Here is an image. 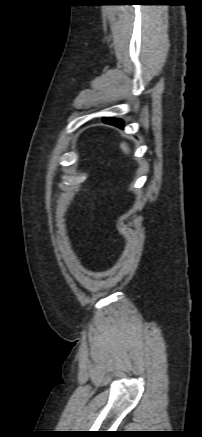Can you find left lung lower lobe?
Here are the masks:
<instances>
[{
	"label": "left lung lower lobe",
	"instance_id": "obj_1",
	"mask_svg": "<svg viewBox=\"0 0 202 437\" xmlns=\"http://www.w3.org/2000/svg\"><path fill=\"white\" fill-rule=\"evenodd\" d=\"M104 122L117 126L119 128H123V121L115 118H104Z\"/></svg>",
	"mask_w": 202,
	"mask_h": 437
}]
</instances>
